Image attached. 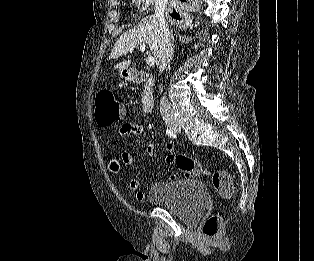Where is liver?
I'll return each mask as SVG.
<instances>
[{
	"label": "liver",
	"mask_w": 314,
	"mask_h": 261,
	"mask_svg": "<svg viewBox=\"0 0 314 261\" xmlns=\"http://www.w3.org/2000/svg\"><path fill=\"white\" fill-rule=\"evenodd\" d=\"M141 43L149 46L156 64L159 65L165 46V38L155 15L143 18L136 27L122 34L116 41L109 58L117 59L122 55H126ZM130 64L131 61L127 60L117 64L114 68L124 69L128 68Z\"/></svg>",
	"instance_id": "obj_1"
}]
</instances>
